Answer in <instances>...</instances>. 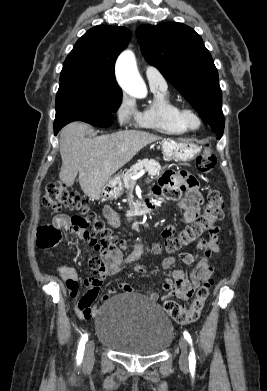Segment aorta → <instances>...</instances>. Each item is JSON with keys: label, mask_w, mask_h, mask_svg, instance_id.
Instances as JSON below:
<instances>
[{"label": "aorta", "mask_w": 267, "mask_h": 391, "mask_svg": "<svg viewBox=\"0 0 267 391\" xmlns=\"http://www.w3.org/2000/svg\"><path fill=\"white\" fill-rule=\"evenodd\" d=\"M115 69L117 81L128 95L140 99L147 96L146 85L138 72L135 55L131 50L120 54Z\"/></svg>", "instance_id": "762f6f07"}]
</instances>
